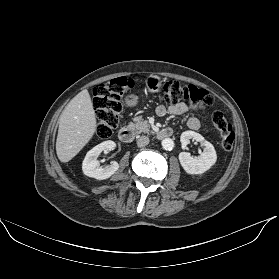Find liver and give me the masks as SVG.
Instances as JSON below:
<instances>
[{
	"label": "liver",
	"mask_w": 279,
	"mask_h": 279,
	"mask_svg": "<svg viewBox=\"0 0 279 279\" xmlns=\"http://www.w3.org/2000/svg\"><path fill=\"white\" fill-rule=\"evenodd\" d=\"M56 153L61 162L74 158L97 129L93 104L87 90L78 93L59 117Z\"/></svg>",
	"instance_id": "liver-1"
}]
</instances>
